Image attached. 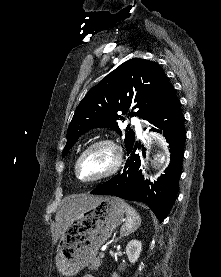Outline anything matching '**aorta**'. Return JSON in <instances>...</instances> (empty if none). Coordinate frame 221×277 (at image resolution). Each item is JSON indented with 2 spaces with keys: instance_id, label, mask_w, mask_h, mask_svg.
<instances>
[{
  "instance_id": "aorta-1",
  "label": "aorta",
  "mask_w": 221,
  "mask_h": 277,
  "mask_svg": "<svg viewBox=\"0 0 221 277\" xmlns=\"http://www.w3.org/2000/svg\"><path fill=\"white\" fill-rule=\"evenodd\" d=\"M169 163V151L165 144H162L157 155L151 163L152 171H162Z\"/></svg>"
}]
</instances>
